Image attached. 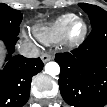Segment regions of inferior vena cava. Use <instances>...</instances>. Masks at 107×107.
<instances>
[{"label":"inferior vena cava","instance_id":"1","mask_svg":"<svg viewBox=\"0 0 107 107\" xmlns=\"http://www.w3.org/2000/svg\"><path fill=\"white\" fill-rule=\"evenodd\" d=\"M18 52L20 55L27 58H37L40 55L38 47L26 42L18 45Z\"/></svg>","mask_w":107,"mask_h":107}]
</instances>
